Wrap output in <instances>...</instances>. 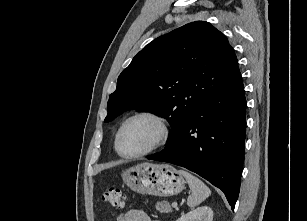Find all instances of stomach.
I'll return each instance as SVG.
<instances>
[{
	"mask_svg": "<svg viewBox=\"0 0 307 221\" xmlns=\"http://www.w3.org/2000/svg\"><path fill=\"white\" fill-rule=\"evenodd\" d=\"M122 179L131 190L155 196H173L185 187L183 176L169 164L144 162L123 171Z\"/></svg>",
	"mask_w": 307,
	"mask_h": 221,
	"instance_id": "0dacf381",
	"label": "stomach"
}]
</instances>
